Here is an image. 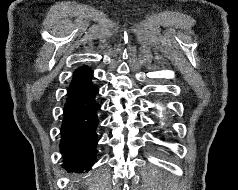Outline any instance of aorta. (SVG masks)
<instances>
[{
	"label": "aorta",
	"mask_w": 238,
	"mask_h": 190,
	"mask_svg": "<svg viewBox=\"0 0 238 190\" xmlns=\"http://www.w3.org/2000/svg\"><path fill=\"white\" fill-rule=\"evenodd\" d=\"M155 106H156V109H157V111L159 113V117L161 119H164V114L166 112V107L163 105L162 102H159V101L156 102Z\"/></svg>",
	"instance_id": "762f6f07"
}]
</instances>
